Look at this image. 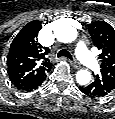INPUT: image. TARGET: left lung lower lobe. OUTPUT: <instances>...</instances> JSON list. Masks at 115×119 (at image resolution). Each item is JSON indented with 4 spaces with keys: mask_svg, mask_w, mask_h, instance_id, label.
<instances>
[{
    "mask_svg": "<svg viewBox=\"0 0 115 119\" xmlns=\"http://www.w3.org/2000/svg\"><path fill=\"white\" fill-rule=\"evenodd\" d=\"M85 95L93 97H105L115 90V80L106 75H96L94 81L89 85L79 87Z\"/></svg>",
    "mask_w": 115,
    "mask_h": 119,
    "instance_id": "left-lung-lower-lobe-1",
    "label": "left lung lower lobe"
}]
</instances>
